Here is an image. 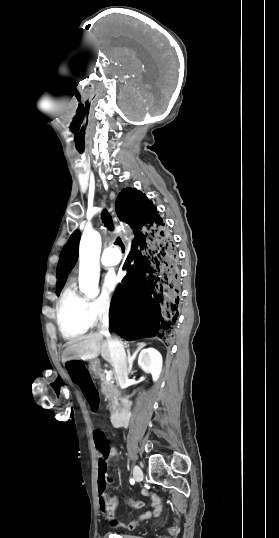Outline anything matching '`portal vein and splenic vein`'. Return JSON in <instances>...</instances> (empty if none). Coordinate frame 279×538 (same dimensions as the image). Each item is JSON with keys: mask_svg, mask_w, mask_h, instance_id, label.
<instances>
[{"mask_svg": "<svg viewBox=\"0 0 279 538\" xmlns=\"http://www.w3.org/2000/svg\"><path fill=\"white\" fill-rule=\"evenodd\" d=\"M110 378H112V372H107V374H106V383H109Z\"/></svg>", "mask_w": 279, "mask_h": 538, "instance_id": "portal-vein-and-splenic-vein-1", "label": "portal vein and splenic vein"}]
</instances>
